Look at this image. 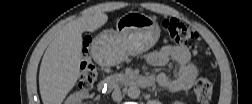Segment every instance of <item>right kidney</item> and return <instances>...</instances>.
<instances>
[{"label":"right kidney","instance_id":"1","mask_svg":"<svg viewBox=\"0 0 252 104\" xmlns=\"http://www.w3.org/2000/svg\"><path fill=\"white\" fill-rule=\"evenodd\" d=\"M88 97V93L85 91H79L71 94L65 101L66 104H80L83 99Z\"/></svg>","mask_w":252,"mask_h":104}]
</instances>
